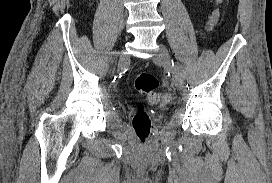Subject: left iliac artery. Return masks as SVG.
Instances as JSON below:
<instances>
[{"label":"left iliac artery","instance_id":"44dca946","mask_svg":"<svg viewBox=\"0 0 272 183\" xmlns=\"http://www.w3.org/2000/svg\"><path fill=\"white\" fill-rule=\"evenodd\" d=\"M172 66L174 68L175 77H177L179 80L183 81L184 80V72L182 70L181 65H179L176 62H173V60H172Z\"/></svg>","mask_w":272,"mask_h":183}]
</instances>
